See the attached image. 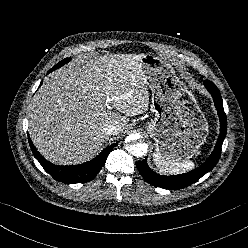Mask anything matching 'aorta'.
Wrapping results in <instances>:
<instances>
[{"mask_svg":"<svg viewBox=\"0 0 248 248\" xmlns=\"http://www.w3.org/2000/svg\"><path fill=\"white\" fill-rule=\"evenodd\" d=\"M140 136L138 134H132L127 138L126 149L135 157H142L148 151V145L146 143L136 142Z\"/></svg>","mask_w":248,"mask_h":248,"instance_id":"obj_1","label":"aorta"}]
</instances>
